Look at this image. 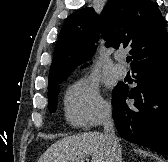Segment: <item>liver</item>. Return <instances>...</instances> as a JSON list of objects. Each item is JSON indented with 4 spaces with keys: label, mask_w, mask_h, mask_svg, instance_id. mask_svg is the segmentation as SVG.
<instances>
[{
    "label": "liver",
    "mask_w": 168,
    "mask_h": 162,
    "mask_svg": "<svg viewBox=\"0 0 168 162\" xmlns=\"http://www.w3.org/2000/svg\"><path fill=\"white\" fill-rule=\"evenodd\" d=\"M86 156H91V162H109L102 133L88 132L65 137L52 144L38 162H83Z\"/></svg>",
    "instance_id": "1"
}]
</instances>
